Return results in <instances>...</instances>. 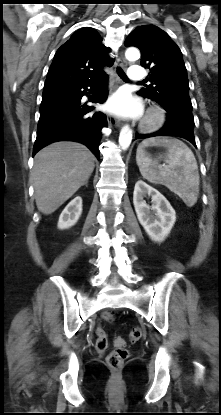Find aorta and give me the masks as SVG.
<instances>
[{
	"label": "aorta",
	"mask_w": 221,
	"mask_h": 415,
	"mask_svg": "<svg viewBox=\"0 0 221 415\" xmlns=\"http://www.w3.org/2000/svg\"><path fill=\"white\" fill-rule=\"evenodd\" d=\"M125 57L129 61H135L139 59L140 52L135 47H129L125 52ZM131 141H132V130L128 125H126L120 131L119 145L121 146L123 150H126L130 146Z\"/></svg>",
	"instance_id": "aorta-1"
}]
</instances>
